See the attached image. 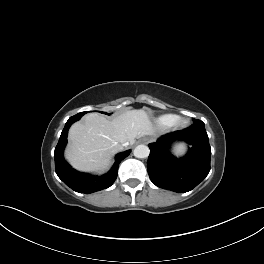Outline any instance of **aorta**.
Instances as JSON below:
<instances>
[{"instance_id": "aorta-1", "label": "aorta", "mask_w": 264, "mask_h": 264, "mask_svg": "<svg viewBox=\"0 0 264 264\" xmlns=\"http://www.w3.org/2000/svg\"><path fill=\"white\" fill-rule=\"evenodd\" d=\"M150 150L146 145H138L135 147L133 154L136 158H147L149 156Z\"/></svg>"}]
</instances>
